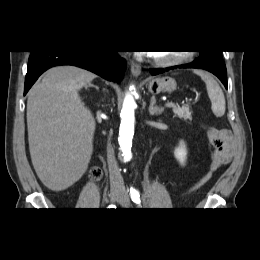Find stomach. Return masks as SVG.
<instances>
[{"label": "stomach", "mask_w": 260, "mask_h": 260, "mask_svg": "<svg viewBox=\"0 0 260 260\" xmlns=\"http://www.w3.org/2000/svg\"><path fill=\"white\" fill-rule=\"evenodd\" d=\"M176 87V81L169 77L151 79L148 83V90L153 94L160 92L171 93L176 90Z\"/></svg>", "instance_id": "0dacf381"}]
</instances>
